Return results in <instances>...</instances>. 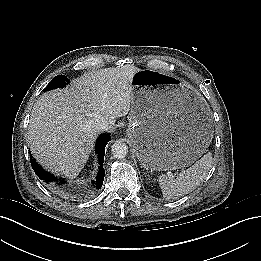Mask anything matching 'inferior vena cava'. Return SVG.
I'll return each mask as SVG.
<instances>
[{
	"label": "inferior vena cava",
	"mask_w": 261,
	"mask_h": 261,
	"mask_svg": "<svg viewBox=\"0 0 261 261\" xmlns=\"http://www.w3.org/2000/svg\"><path fill=\"white\" fill-rule=\"evenodd\" d=\"M91 127L95 131H105L109 128V122L105 117L96 115L91 121Z\"/></svg>",
	"instance_id": "1"
}]
</instances>
